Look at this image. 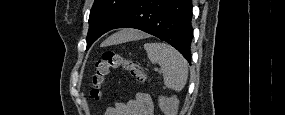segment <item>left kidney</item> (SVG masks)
Masks as SVG:
<instances>
[{
    "instance_id": "obj_1",
    "label": "left kidney",
    "mask_w": 285,
    "mask_h": 115,
    "mask_svg": "<svg viewBox=\"0 0 285 115\" xmlns=\"http://www.w3.org/2000/svg\"><path fill=\"white\" fill-rule=\"evenodd\" d=\"M159 107L165 115H176L178 112L179 100L176 97L159 96Z\"/></svg>"
}]
</instances>
